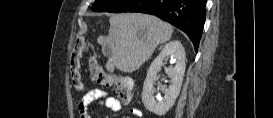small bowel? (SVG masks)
<instances>
[{"label":"small bowel","instance_id":"small-bowel-1","mask_svg":"<svg viewBox=\"0 0 273 118\" xmlns=\"http://www.w3.org/2000/svg\"><path fill=\"white\" fill-rule=\"evenodd\" d=\"M93 106H104L113 112L122 109L121 103L111 95L99 90H92L78 104L80 118H91V108ZM130 112L135 117L142 116V112L138 108H131Z\"/></svg>","mask_w":273,"mask_h":118}]
</instances>
